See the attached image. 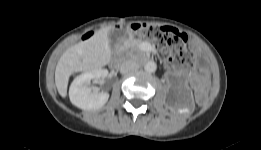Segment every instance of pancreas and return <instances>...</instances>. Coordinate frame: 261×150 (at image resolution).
<instances>
[{"label":"pancreas","mask_w":261,"mask_h":150,"mask_svg":"<svg viewBox=\"0 0 261 150\" xmlns=\"http://www.w3.org/2000/svg\"><path fill=\"white\" fill-rule=\"evenodd\" d=\"M136 46L138 47L141 44L140 40L135 41ZM141 56H145V54L141 53Z\"/></svg>","instance_id":"cf45deb5"}]
</instances>
